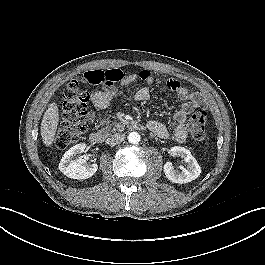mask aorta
Wrapping results in <instances>:
<instances>
[{
  "label": "aorta",
  "mask_w": 265,
  "mask_h": 265,
  "mask_svg": "<svg viewBox=\"0 0 265 265\" xmlns=\"http://www.w3.org/2000/svg\"><path fill=\"white\" fill-rule=\"evenodd\" d=\"M128 141L131 144H138L140 142V135L138 132H131L128 135Z\"/></svg>",
  "instance_id": "1"
}]
</instances>
